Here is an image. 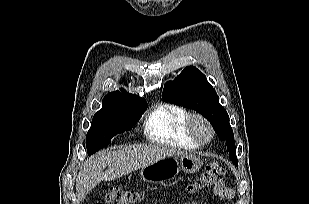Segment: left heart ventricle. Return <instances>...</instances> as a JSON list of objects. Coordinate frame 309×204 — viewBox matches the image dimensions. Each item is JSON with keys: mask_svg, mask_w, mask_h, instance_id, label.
<instances>
[{"mask_svg": "<svg viewBox=\"0 0 309 204\" xmlns=\"http://www.w3.org/2000/svg\"><path fill=\"white\" fill-rule=\"evenodd\" d=\"M196 131L202 138H206L209 134L207 127L202 123L196 125Z\"/></svg>", "mask_w": 309, "mask_h": 204, "instance_id": "1", "label": "left heart ventricle"}]
</instances>
